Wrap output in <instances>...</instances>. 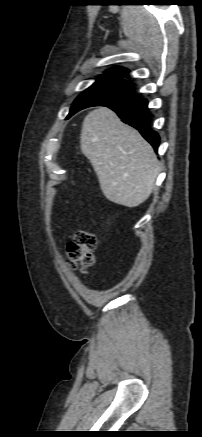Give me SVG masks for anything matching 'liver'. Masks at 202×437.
<instances>
[{
	"mask_svg": "<svg viewBox=\"0 0 202 437\" xmlns=\"http://www.w3.org/2000/svg\"><path fill=\"white\" fill-rule=\"evenodd\" d=\"M80 144L109 201L133 208L149 198L159 173L156 154L115 112L107 107L89 112L82 124Z\"/></svg>",
	"mask_w": 202,
	"mask_h": 437,
	"instance_id": "liver-1",
	"label": "liver"
}]
</instances>
